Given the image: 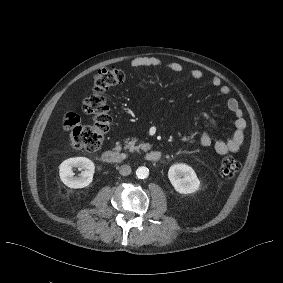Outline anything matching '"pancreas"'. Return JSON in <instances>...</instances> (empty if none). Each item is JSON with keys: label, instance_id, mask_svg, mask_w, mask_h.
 <instances>
[{"label": "pancreas", "instance_id": "obj_1", "mask_svg": "<svg viewBox=\"0 0 283 283\" xmlns=\"http://www.w3.org/2000/svg\"><path fill=\"white\" fill-rule=\"evenodd\" d=\"M137 139L133 138L126 146L125 149H129L130 152H140V150H143L144 152H147L150 149L149 144H140L138 146H135Z\"/></svg>", "mask_w": 283, "mask_h": 283}]
</instances>
